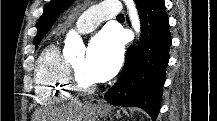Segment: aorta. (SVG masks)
I'll use <instances>...</instances> for the list:
<instances>
[{
  "label": "aorta",
  "instance_id": "762f6f07",
  "mask_svg": "<svg viewBox=\"0 0 217 121\" xmlns=\"http://www.w3.org/2000/svg\"><path fill=\"white\" fill-rule=\"evenodd\" d=\"M127 9L129 18L132 24L133 29L136 33L140 32V20L138 16V12L133 0H124ZM84 53V45L81 37L74 31H70L65 39V47H64V56L65 58L74 57L76 55H80Z\"/></svg>",
  "mask_w": 217,
  "mask_h": 121
}]
</instances>
